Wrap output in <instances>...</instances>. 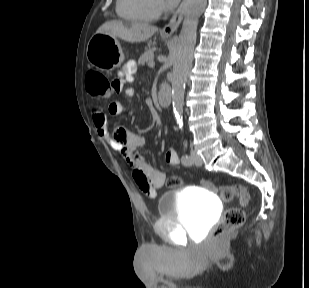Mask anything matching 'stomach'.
<instances>
[{
	"label": "stomach",
	"mask_w": 309,
	"mask_h": 288,
	"mask_svg": "<svg viewBox=\"0 0 309 288\" xmlns=\"http://www.w3.org/2000/svg\"><path fill=\"white\" fill-rule=\"evenodd\" d=\"M86 56L89 63L101 71H111L125 59L118 39L105 33H95L90 38Z\"/></svg>",
	"instance_id": "1"
}]
</instances>
